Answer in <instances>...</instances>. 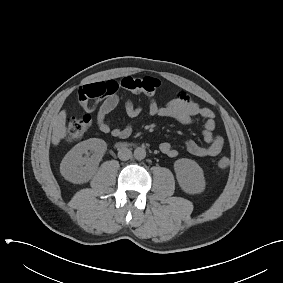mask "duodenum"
I'll return each mask as SVG.
<instances>
[{"instance_id":"1","label":"duodenum","mask_w":283,"mask_h":283,"mask_svg":"<svg viewBox=\"0 0 283 283\" xmlns=\"http://www.w3.org/2000/svg\"><path fill=\"white\" fill-rule=\"evenodd\" d=\"M126 145H127V144H125V143H119V144H118L119 147H124V146H126Z\"/></svg>"}]
</instances>
